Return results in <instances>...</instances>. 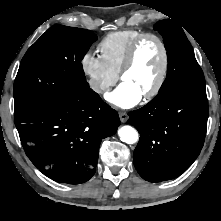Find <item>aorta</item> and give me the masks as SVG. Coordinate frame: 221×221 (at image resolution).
Returning <instances> with one entry per match:
<instances>
[{"mask_svg":"<svg viewBox=\"0 0 221 221\" xmlns=\"http://www.w3.org/2000/svg\"><path fill=\"white\" fill-rule=\"evenodd\" d=\"M118 135L121 141L127 144H134L138 140V132L131 126L125 125L118 129Z\"/></svg>","mask_w":221,"mask_h":221,"instance_id":"762f6f07","label":"aorta"}]
</instances>
